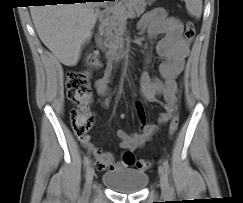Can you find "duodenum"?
<instances>
[{"label":"duodenum","instance_id":"duodenum-1","mask_svg":"<svg viewBox=\"0 0 243 203\" xmlns=\"http://www.w3.org/2000/svg\"><path fill=\"white\" fill-rule=\"evenodd\" d=\"M107 19V12L104 11L100 14L99 24H102ZM96 42L97 45L105 51L106 58L109 62H114L121 59L124 56V52L121 49L115 47H106L103 36L100 34V31L96 32Z\"/></svg>","mask_w":243,"mask_h":203}]
</instances>
